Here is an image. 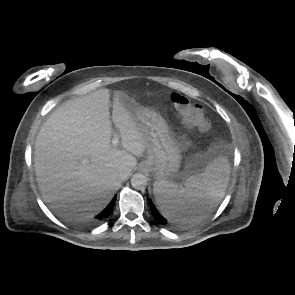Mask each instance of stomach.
<instances>
[{
    "label": "stomach",
    "mask_w": 295,
    "mask_h": 295,
    "mask_svg": "<svg viewBox=\"0 0 295 295\" xmlns=\"http://www.w3.org/2000/svg\"><path fill=\"white\" fill-rule=\"evenodd\" d=\"M124 102L138 129L147 139L148 156L143 168L152 171L157 179L176 177L182 159V146L166 120L153 108L144 107L125 97Z\"/></svg>",
    "instance_id": "0dacf381"
}]
</instances>
